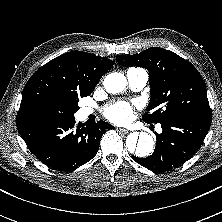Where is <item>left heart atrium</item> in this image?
<instances>
[{
	"mask_svg": "<svg viewBox=\"0 0 222 222\" xmlns=\"http://www.w3.org/2000/svg\"><path fill=\"white\" fill-rule=\"evenodd\" d=\"M105 116L117 124L128 123L134 117L132 104L124 101L111 104L106 108Z\"/></svg>",
	"mask_w": 222,
	"mask_h": 222,
	"instance_id": "left-heart-atrium-1",
	"label": "left heart atrium"
}]
</instances>
